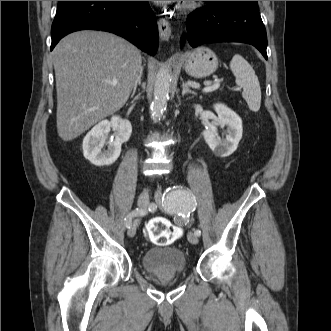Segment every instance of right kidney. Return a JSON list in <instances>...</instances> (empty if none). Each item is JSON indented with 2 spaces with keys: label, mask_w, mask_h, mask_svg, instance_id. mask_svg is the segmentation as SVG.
Segmentation results:
<instances>
[{
  "label": "right kidney",
  "mask_w": 331,
  "mask_h": 331,
  "mask_svg": "<svg viewBox=\"0 0 331 331\" xmlns=\"http://www.w3.org/2000/svg\"><path fill=\"white\" fill-rule=\"evenodd\" d=\"M116 130L113 141H109L108 149L104 150L105 135L110 129ZM132 133V126L128 120L113 116L111 120H103L95 125L83 139V155L96 166H108L113 164L121 153V145L127 142Z\"/></svg>",
  "instance_id": "1"
}]
</instances>
